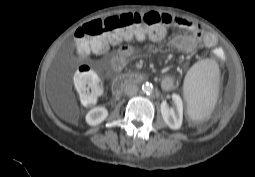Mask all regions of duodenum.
Here are the masks:
<instances>
[{
    "mask_svg": "<svg viewBox=\"0 0 255 177\" xmlns=\"http://www.w3.org/2000/svg\"><path fill=\"white\" fill-rule=\"evenodd\" d=\"M144 76L137 73L124 74L118 76L112 83L113 92L118 95L125 86L143 81Z\"/></svg>",
    "mask_w": 255,
    "mask_h": 177,
    "instance_id": "duodenum-1",
    "label": "duodenum"
}]
</instances>
